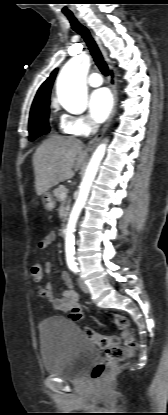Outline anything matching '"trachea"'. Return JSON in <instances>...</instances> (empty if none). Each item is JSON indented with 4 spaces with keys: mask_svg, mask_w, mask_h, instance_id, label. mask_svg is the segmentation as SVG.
<instances>
[{
    "mask_svg": "<svg viewBox=\"0 0 168 415\" xmlns=\"http://www.w3.org/2000/svg\"><path fill=\"white\" fill-rule=\"evenodd\" d=\"M67 18L71 24L72 29L79 35H81L84 41L86 42L97 67L105 76H108V66L103 60L102 55L88 29L85 26H83L73 15H67Z\"/></svg>",
    "mask_w": 168,
    "mask_h": 415,
    "instance_id": "obj_1",
    "label": "trachea"
}]
</instances>
